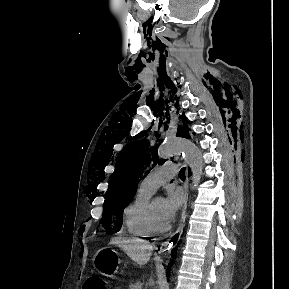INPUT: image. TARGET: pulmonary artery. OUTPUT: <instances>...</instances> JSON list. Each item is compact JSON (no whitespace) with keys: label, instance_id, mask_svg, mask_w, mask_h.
<instances>
[{"label":"pulmonary artery","instance_id":"1","mask_svg":"<svg viewBox=\"0 0 289 289\" xmlns=\"http://www.w3.org/2000/svg\"><path fill=\"white\" fill-rule=\"evenodd\" d=\"M176 172L177 167L173 162H165L154 168V170L143 178L139 189L153 193L159 186L172 179Z\"/></svg>","mask_w":289,"mask_h":289}]
</instances>
